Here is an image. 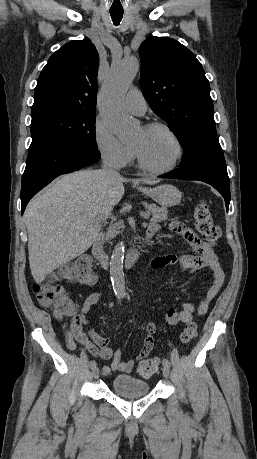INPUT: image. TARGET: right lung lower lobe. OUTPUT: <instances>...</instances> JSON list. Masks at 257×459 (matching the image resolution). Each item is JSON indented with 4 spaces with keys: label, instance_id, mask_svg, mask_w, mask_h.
<instances>
[{
    "label": "right lung lower lobe",
    "instance_id": "right-lung-lower-lobe-1",
    "mask_svg": "<svg viewBox=\"0 0 257 459\" xmlns=\"http://www.w3.org/2000/svg\"><path fill=\"white\" fill-rule=\"evenodd\" d=\"M86 149L72 145L37 146L29 148L26 168L22 176V214L29 200L53 179L92 165L99 160Z\"/></svg>",
    "mask_w": 257,
    "mask_h": 459
}]
</instances>
